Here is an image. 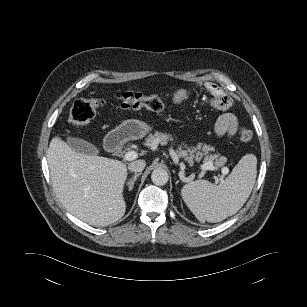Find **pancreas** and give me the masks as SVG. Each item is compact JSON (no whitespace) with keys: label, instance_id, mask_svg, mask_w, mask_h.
Here are the masks:
<instances>
[{"label":"pancreas","instance_id":"pancreas-1","mask_svg":"<svg viewBox=\"0 0 307 307\" xmlns=\"http://www.w3.org/2000/svg\"><path fill=\"white\" fill-rule=\"evenodd\" d=\"M173 138L171 135L155 132L154 134H150L148 138H146L145 145L150 147L151 149H155L158 144L166 145L169 141H172ZM185 150L182 147H179L176 151V154L179 158H184L187 163L190 165L193 164L194 160L200 162L203 160L204 163H213L215 168L223 167L227 162V158L224 156H220L219 154H210V151H213L214 148L210 145L199 143L196 147H187Z\"/></svg>","mask_w":307,"mask_h":307}]
</instances>
